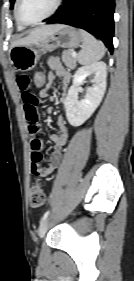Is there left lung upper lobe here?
Masks as SVG:
<instances>
[{
	"label": "left lung upper lobe",
	"mask_w": 134,
	"mask_h": 281,
	"mask_svg": "<svg viewBox=\"0 0 134 281\" xmlns=\"http://www.w3.org/2000/svg\"><path fill=\"white\" fill-rule=\"evenodd\" d=\"M14 1H15V0H10V2H11V8L13 7Z\"/></svg>",
	"instance_id": "5c2ea615"
}]
</instances>
